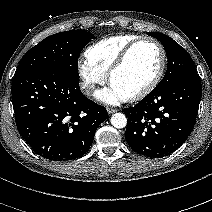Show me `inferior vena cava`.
<instances>
[{
  "mask_svg": "<svg viewBox=\"0 0 212 212\" xmlns=\"http://www.w3.org/2000/svg\"><path fill=\"white\" fill-rule=\"evenodd\" d=\"M81 89L83 90L84 94L89 95L92 93V91L95 89V87L92 84L82 83Z\"/></svg>",
  "mask_w": 212,
  "mask_h": 212,
  "instance_id": "1",
  "label": "inferior vena cava"
}]
</instances>
